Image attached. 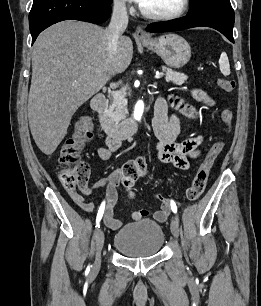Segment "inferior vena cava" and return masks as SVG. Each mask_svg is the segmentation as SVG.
<instances>
[{
	"label": "inferior vena cava",
	"instance_id": "inferior-vena-cava-1",
	"mask_svg": "<svg viewBox=\"0 0 261 306\" xmlns=\"http://www.w3.org/2000/svg\"><path fill=\"white\" fill-rule=\"evenodd\" d=\"M127 25L128 15L126 5L122 1L116 0L110 24L106 29L110 58L117 52L119 38L124 33Z\"/></svg>",
	"mask_w": 261,
	"mask_h": 306
}]
</instances>
